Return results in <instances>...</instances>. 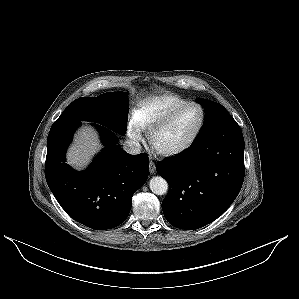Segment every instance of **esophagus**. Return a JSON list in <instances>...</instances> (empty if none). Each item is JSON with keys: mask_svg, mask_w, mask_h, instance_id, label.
<instances>
[{"mask_svg": "<svg viewBox=\"0 0 299 299\" xmlns=\"http://www.w3.org/2000/svg\"><path fill=\"white\" fill-rule=\"evenodd\" d=\"M149 171H150L151 174H154L155 171H156V166H155V163L153 161L149 162Z\"/></svg>", "mask_w": 299, "mask_h": 299, "instance_id": "obj_1", "label": "esophagus"}]
</instances>
